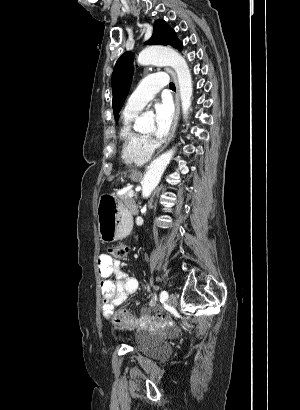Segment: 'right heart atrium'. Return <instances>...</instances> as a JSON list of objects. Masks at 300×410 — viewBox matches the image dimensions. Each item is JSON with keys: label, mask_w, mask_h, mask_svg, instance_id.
Wrapping results in <instances>:
<instances>
[{"label": "right heart atrium", "mask_w": 300, "mask_h": 410, "mask_svg": "<svg viewBox=\"0 0 300 410\" xmlns=\"http://www.w3.org/2000/svg\"><path fill=\"white\" fill-rule=\"evenodd\" d=\"M147 143L150 147H152V142L150 140H148Z\"/></svg>", "instance_id": "right-heart-atrium-1"}]
</instances>
